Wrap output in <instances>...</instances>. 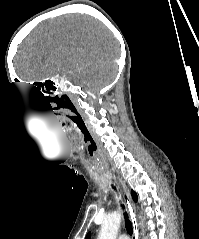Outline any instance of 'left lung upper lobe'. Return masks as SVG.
Listing matches in <instances>:
<instances>
[{
  "mask_svg": "<svg viewBox=\"0 0 199 239\" xmlns=\"http://www.w3.org/2000/svg\"><path fill=\"white\" fill-rule=\"evenodd\" d=\"M131 195H132L133 200H134L135 202H137V200H138L137 194H136L134 191H132V192H131Z\"/></svg>",
  "mask_w": 199,
  "mask_h": 239,
  "instance_id": "left-lung-upper-lobe-1",
  "label": "left lung upper lobe"
}]
</instances>
